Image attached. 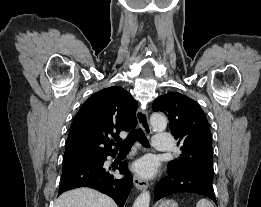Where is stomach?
<instances>
[{"label": "stomach", "mask_w": 261, "mask_h": 207, "mask_svg": "<svg viewBox=\"0 0 261 207\" xmlns=\"http://www.w3.org/2000/svg\"><path fill=\"white\" fill-rule=\"evenodd\" d=\"M156 207H178V204L174 200H162Z\"/></svg>", "instance_id": "stomach-1"}]
</instances>
